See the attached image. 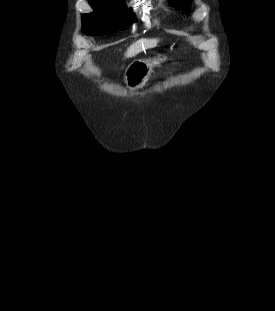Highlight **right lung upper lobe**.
<instances>
[{"label":"right lung upper lobe","instance_id":"obj_1","mask_svg":"<svg viewBox=\"0 0 275 311\" xmlns=\"http://www.w3.org/2000/svg\"><path fill=\"white\" fill-rule=\"evenodd\" d=\"M90 5L97 4H125V0H89Z\"/></svg>","mask_w":275,"mask_h":311}]
</instances>
